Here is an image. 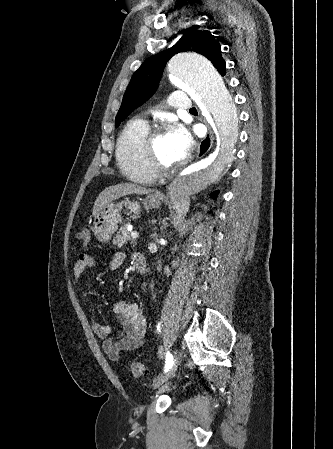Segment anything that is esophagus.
<instances>
[{"label": "esophagus", "instance_id": "obj_1", "mask_svg": "<svg viewBox=\"0 0 333 449\" xmlns=\"http://www.w3.org/2000/svg\"><path fill=\"white\" fill-rule=\"evenodd\" d=\"M213 140H214V135H213L212 130L209 128L207 135L204 137V139L200 143L199 151H198V155H197L198 158L203 157L209 151V149L212 147Z\"/></svg>", "mask_w": 333, "mask_h": 449}]
</instances>
